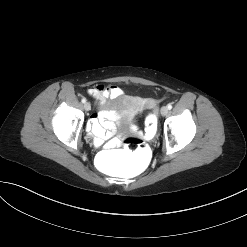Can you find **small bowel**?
Wrapping results in <instances>:
<instances>
[{"mask_svg": "<svg viewBox=\"0 0 247 247\" xmlns=\"http://www.w3.org/2000/svg\"><path fill=\"white\" fill-rule=\"evenodd\" d=\"M89 94L99 101L107 98H115L121 95V90L117 87L95 86L88 90ZM115 113H99L92 116L89 123L90 135L97 146L113 148L119 144L116 138H113L115 127L110 122L115 119Z\"/></svg>", "mask_w": 247, "mask_h": 247, "instance_id": "c3829d8e", "label": "small bowel"}]
</instances>
